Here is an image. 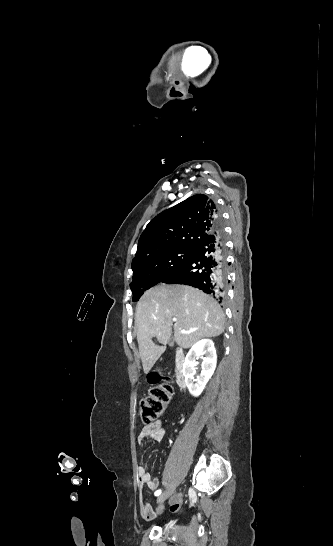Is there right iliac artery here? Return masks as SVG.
<instances>
[{"label":"right iliac artery","instance_id":"right-iliac-artery-1","mask_svg":"<svg viewBox=\"0 0 333 546\" xmlns=\"http://www.w3.org/2000/svg\"><path fill=\"white\" fill-rule=\"evenodd\" d=\"M161 493H162V490L159 489V490H157V491L155 492V496H159Z\"/></svg>","mask_w":333,"mask_h":546}]
</instances>
